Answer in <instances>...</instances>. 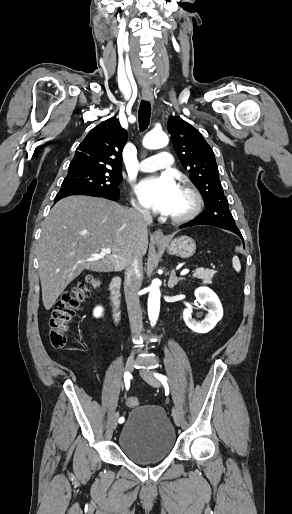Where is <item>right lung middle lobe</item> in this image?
<instances>
[{
	"label": "right lung middle lobe",
	"instance_id": "dd1d6c3e",
	"mask_svg": "<svg viewBox=\"0 0 292 514\" xmlns=\"http://www.w3.org/2000/svg\"><path fill=\"white\" fill-rule=\"evenodd\" d=\"M120 172H72L64 179L58 194L66 192L119 193Z\"/></svg>",
	"mask_w": 292,
	"mask_h": 514
}]
</instances>
